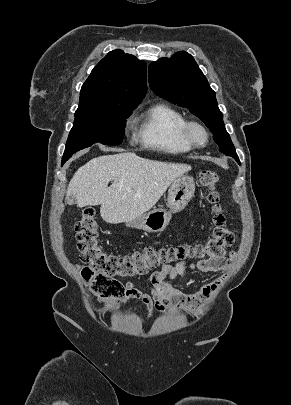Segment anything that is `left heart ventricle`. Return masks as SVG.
Masks as SVG:
<instances>
[{"label": "left heart ventricle", "instance_id": "1", "mask_svg": "<svg viewBox=\"0 0 291 405\" xmlns=\"http://www.w3.org/2000/svg\"><path fill=\"white\" fill-rule=\"evenodd\" d=\"M195 137L198 141H202L203 140V136L200 132H195Z\"/></svg>", "mask_w": 291, "mask_h": 405}]
</instances>
